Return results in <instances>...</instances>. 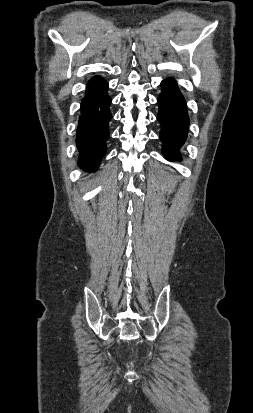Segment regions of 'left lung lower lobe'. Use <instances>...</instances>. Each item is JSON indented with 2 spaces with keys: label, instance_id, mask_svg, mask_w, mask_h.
<instances>
[{
  "label": "left lung lower lobe",
  "instance_id": "1",
  "mask_svg": "<svg viewBox=\"0 0 253 413\" xmlns=\"http://www.w3.org/2000/svg\"><path fill=\"white\" fill-rule=\"evenodd\" d=\"M161 86L157 119L162 127L159 136L163 142V155L168 160H181L179 149L186 140L189 127L186 102L174 79L162 81Z\"/></svg>",
  "mask_w": 253,
  "mask_h": 413
}]
</instances>
